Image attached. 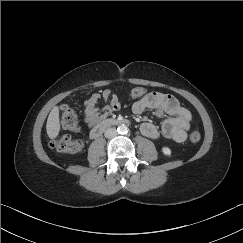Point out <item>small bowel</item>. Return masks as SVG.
I'll use <instances>...</instances> for the list:
<instances>
[{"mask_svg": "<svg viewBox=\"0 0 243 243\" xmlns=\"http://www.w3.org/2000/svg\"><path fill=\"white\" fill-rule=\"evenodd\" d=\"M121 106V100L108 89L94 93L84 103V122L88 127H92L111 113L118 111ZM147 109L152 110L157 119H161L164 115L169 117L163 120L160 127L149 121L143 122L140 126L143 135L152 139L164 136L175 142H183L186 139L191 127L192 114L182 107L174 96L149 92L136 100L131 107L136 115Z\"/></svg>", "mask_w": 243, "mask_h": 243, "instance_id": "c3829d8e", "label": "small bowel"}]
</instances>
